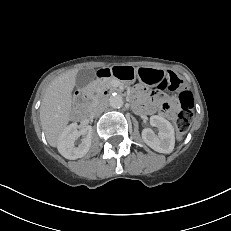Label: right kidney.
<instances>
[{"label": "right kidney", "mask_w": 231, "mask_h": 231, "mask_svg": "<svg viewBox=\"0 0 231 231\" xmlns=\"http://www.w3.org/2000/svg\"><path fill=\"white\" fill-rule=\"evenodd\" d=\"M77 123L67 126L59 137L58 151L70 160L83 157L89 151L92 140V127L87 126L81 131L77 130ZM82 136L81 143L76 146V140Z\"/></svg>", "instance_id": "1"}]
</instances>
